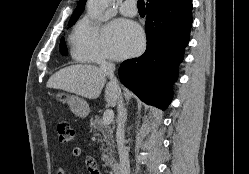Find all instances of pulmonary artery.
Instances as JSON below:
<instances>
[{
  "instance_id": "obj_1",
  "label": "pulmonary artery",
  "mask_w": 249,
  "mask_h": 174,
  "mask_svg": "<svg viewBox=\"0 0 249 174\" xmlns=\"http://www.w3.org/2000/svg\"><path fill=\"white\" fill-rule=\"evenodd\" d=\"M120 12L126 16L134 17L137 15L135 0H126L120 6Z\"/></svg>"
}]
</instances>
